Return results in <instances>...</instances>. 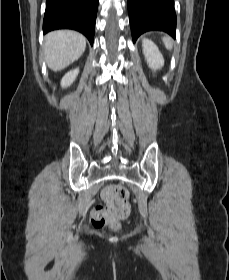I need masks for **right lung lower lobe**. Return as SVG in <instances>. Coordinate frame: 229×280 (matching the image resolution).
I'll return each instance as SVG.
<instances>
[{
    "label": "right lung lower lobe",
    "mask_w": 229,
    "mask_h": 280,
    "mask_svg": "<svg viewBox=\"0 0 229 280\" xmlns=\"http://www.w3.org/2000/svg\"><path fill=\"white\" fill-rule=\"evenodd\" d=\"M97 8L98 0H46L43 32L74 29L93 45Z\"/></svg>",
    "instance_id": "right-lung-lower-lobe-1"
}]
</instances>
